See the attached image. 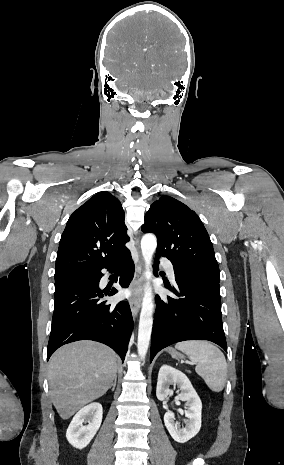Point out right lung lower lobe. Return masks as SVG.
I'll list each match as a JSON object with an SVG mask.
<instances>
[{
    "label": "right lung lower lobe",
    "mask_w": 284,
    "mask_h": 465,
    "mask_svg": "<svg viewBox=\"0 0 284 465\" xmlns=\"http://www.w3.org/2000/svg\"><path fill=\"white\" fill-rule=\"evenodd\" d=\"M110 272L119 271V284L128 287L134 274L130 251L109 264ZM96 274L67 282L55 288V308L47 348V360L60 346L78 340H94L111 347L124 361L133 330V318L126 301L108 304L115 288L101 290ZM117 282V280H116Z\"/></svg>",
    "instance_id": "1"
}]
</instances>
